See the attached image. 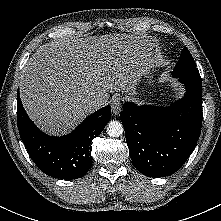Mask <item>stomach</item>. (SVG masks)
<instances>
[{
    "instance_id": "0dacf381",
    "label": "stomach",
    "mask_w": 221,
    "mask_h": 221,
    "mask_svg": "<svg viewBox=\"0 0 221 221\" xmlns=\"http://www.w3.org/2000/svg\"><path fill=\"white\" fill-rule=\"evenodd\" d=\"M151 69H152V68H151ZM151 69H149V70L143 75L144 78H146L147 81H148L149 83L152 82V73H151Z\"/></svg>"
}]
</instances>
